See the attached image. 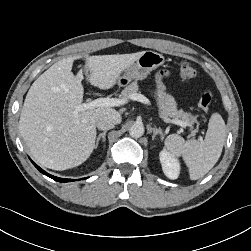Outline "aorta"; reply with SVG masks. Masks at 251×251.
Segmentation results:
<instances>
[{
	"instance_id": "1",
	"label": "aorta",
	"mask_w": 251,
	"mask_h": 251,
	"mask_svg": "<svg viewBox=\"0 0 251 251\" xmlns=\"http://www.w3.org/2000/svg\"><path fill=\"white\" fill-rule=\"evenodd\" d=\"M129 134L133 138H139L144 134V126L142 123H135L129 129Z\"/></svg>"
}]
</instances>
